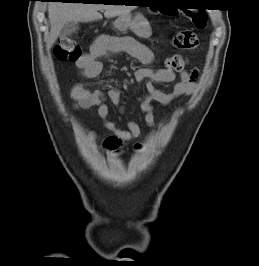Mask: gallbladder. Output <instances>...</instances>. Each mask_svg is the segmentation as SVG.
Returning a JSON list of instances; mask_svg holds the SVG:
<instances>
[{"instance_id": "obj_1", "label": "gallbladder", "mask_w": 259, "mask_h": 266, "mask_svg": "<svg viewBox=\"0 0 259 266\" xmlns=\"http://www.w3.org/2000/svg\"><path fill=\"white\" fill-rule=\"evenodd\" d=\"M78 29H79L78 23H76V22H68L61 29L60 36L61 37L69 36L72 33H75Z\"/></svg>"}]
</instances>
